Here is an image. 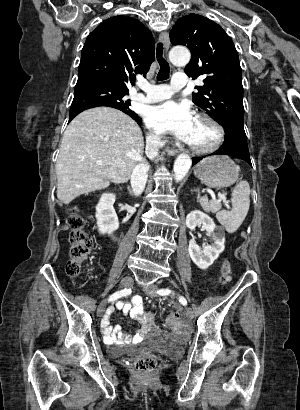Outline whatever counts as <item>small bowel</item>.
I'll use <instances>...</instances> for the list:
<instances>
[{"label":"small bowel","instance_id":"small-bowel-1","mask_svg":"<svg viewBox=\"0 0 300 410\" xmlns=\"http://www.w3.org/2000/svg\"><path fill=\"white\" fill-rule=\"evenodd\" d=\"M116 310L129 315L141 324L140 330L134 336L123 334L119 326L114 327L110 324V317ZM101 326L104 338L109 343H121L129 339L140 341L153 331L154 319L151 314L144 310L142 298L134 296L131 303L118 302L110 306L105 313Z\"/></svg>","mask_w":300,"mask_h":410}]
</instances>
